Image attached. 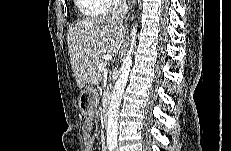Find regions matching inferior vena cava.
I'll use <instances>...</instances> for the list:
<instances>
[{
    "label": "inferior vena cava",
    "mask_w": 231,
    "mask_h": 151,
    "mask_svg": "<svg viewBox=\"0 0 231 151\" xmlns=\"http://www.w3.org/2000/svg\"><path fill=\"white\" fill-rule=\"evenodd\" d=\"M119 8L118 10L113 14V19L120 22V20L127 14L128 12V6L126 3V0H118Z\"/></svg>",
    "instance_id": "inferior-vena-cava-1"
}]
</instances>
